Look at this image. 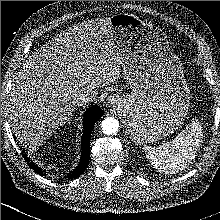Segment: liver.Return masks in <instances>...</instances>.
I'll list each match as a JSON object with an SVG mask.
<instances>
[{"mask_svg": "<svg viewBox=\"0 0 220 220\" xmlns=\"http://www.w3.org/2000/svg\"><path fill=\"white\" fill-rule=\"evenodd\" d=\"M124 59L110 18L82 22L36 50L15 76L9 119L19 141L42 145L63 126L79 96L116 81Z\"/></svg>", "mask_w": 220, "mask_h": 220, "instance_id": "6515ba94", "label": "liver"}]
</instances>
